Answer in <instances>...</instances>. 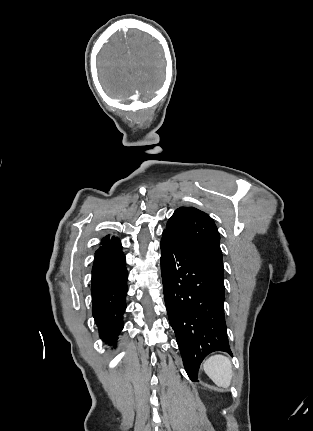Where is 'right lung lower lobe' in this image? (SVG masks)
<instances>
[{
  "mask_svg": "<svg viewBox=\"0 0 313 431\" xmlns=\"http://www.w3.org/2000/svg\"><path fill=\"white\" fill-rule=\"evenodd\" d=\"M121 248L117 238L102 244L95 253L92 268L93 317L100 338L109 345L116 343L123 329L126 309L128 272Z\"/></svg>",
  "mask_w": 313,
  "mask_h": 431,
  "instance_id": "98d812e1",
  "label": "right lung lower lobe"
}]
</instances>
